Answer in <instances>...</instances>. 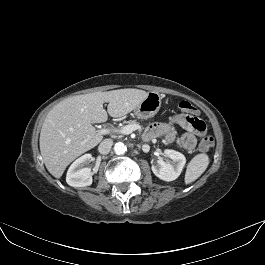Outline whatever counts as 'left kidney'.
I'll return each instance as SVG.
<instances>
[{"instance_id": "1", "label": "left kidney", "mask_w": 265, "mask_h": 265, "mask_svg": "<svg viewBox=\"0 0 265 265\" xmlns=\"http://www.w3.org/2000/svg\"><path fill=\"white\" fill-rule=\"evenodd\" d=\"M163 155L164 159L159 158L157 164L152 165V171L161 180L173 181L181 174L186 158L182 153L171 149L164 150Z\"/></svg>"}]
</instances>
